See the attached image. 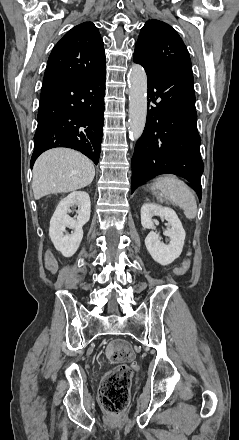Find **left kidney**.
Wrapping results in <instances>:
<instances>
[{"mask_svg":"<svg viewBox=\"0 0 239 440\" xmlns=\"http://www.w3.org/2000/svg\"><path fill=\"white\" fill-rule=\"evenodd\" d=\"M153 216H160L161 220H167L169 230H165L164 236H168L169 244L160 242L159 234L150 232L145 238V246L155 262L161 266L172 264L176 258H179L185 240V230L174 210L163 208L158 204H143L141 208V224L147 230H155Z\"/></svg>","mask_w":239,"mask_h":440,"instance_id":"left-kidney-1","label":"left kidney"}]
</instances>
